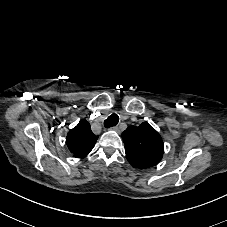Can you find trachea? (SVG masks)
Here are the masks:
<instances>
[{"instance_id": "obj_1", "label": "trachea", "mask_w": 227, "mask_h": 227, "mask_svg": "<svg viewBox=\"0 0 227 227\" xmlns=\"http://www.w3.org/2000/svg\"><path fill=\"white\" fill-rule=\"evenodd\" d=\"M118 122H119L118 115L113 113L104 121V126L106 128L114 127L118 124Z\"/></svg>"}]
</instances>
